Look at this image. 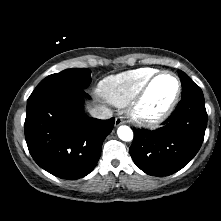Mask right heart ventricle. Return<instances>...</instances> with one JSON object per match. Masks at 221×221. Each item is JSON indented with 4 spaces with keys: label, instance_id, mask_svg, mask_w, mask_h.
Here are the masks:
<instances>
[{
    "label": "right heart ventricle",
    "instance_id": "right-heart-ventricle-1",
    "mask_svg": "<svg viewBox=\"0 0 221 221\" xmlns=\"http://www.w3.org/2000/svg\"><path fill=\"white\" fill-rule=\"evenodd\" d=\"M156 72L154 68L143 67L108 76L99 83L98 92L107 102L125 106Z\"/></svg>",
    "mask_w": 221,
    "mask_h": 221
}]
</instances>
